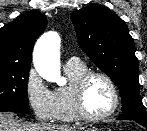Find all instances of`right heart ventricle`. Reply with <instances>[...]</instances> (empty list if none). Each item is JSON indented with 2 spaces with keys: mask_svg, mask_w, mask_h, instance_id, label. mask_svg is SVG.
I'll return each instance as SVG.
<instances>
[{
  "mask_svg": "<svg viewBox=\"0 0 147 131\" xmlns=\"http://www.w3.org/2000/svg\"><path fill=\"white\" fill-rule=\"evenodd\" d=\"M86 71L87 67L83 63L65 64L64 72L69 82L67 85L60 86L54 91L57 102L56 121L70 123L79 119L74 105L73 84Z\"/></svg>",
  "mask_w": 147,
  "mask_h": 131,
  "instance_id": "1",
  "label": "right heart ventricle"
}]
</instances>
